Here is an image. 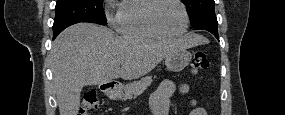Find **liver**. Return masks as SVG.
Wrapping results in <instances>:
<instances>
[{"label": "liver", "mask_w": 285, "mask_h": 115, "mask_svg": "<svg viewBox=\"0 0 285 115\" xmlns=\"http://www.w3.org/2000/svg\"><path fill=\"white\" fill-rule=\"evenodd\" d=\"M205 42L196 34L172 40L118 36L107 27L91 23L66 28L50 52L60 115H77L85 85L106 84L119 77L139 78L167 56Z\"/></svg>", "instance_id": "6515ba94"}]
</instances>
